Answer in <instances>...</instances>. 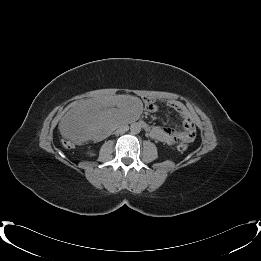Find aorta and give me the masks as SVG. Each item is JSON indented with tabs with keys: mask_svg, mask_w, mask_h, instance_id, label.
<instances>
[{
	"mask_svg": "<svg viewBox=\"0 0 261 261\" xmlns=\"http://www.w3.org/2000/svg\"><path fill=\"white\" fill-rule=\"evenodd\" d=\"M130 131L132 134H138L141 131V125L139 123H132L130 126Z\"/></svg>",
	"mask_w": 261,
	"mask_h": 261,
	"instance_id": "aorta-1",
	"label": "aorta"
}]
</instances>
